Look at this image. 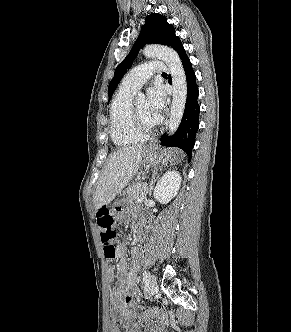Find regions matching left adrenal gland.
<instances>
[{"label": "left adrenal gland", "instance_id": "obj_1", "mask_svg": "<svg viewBox=\"0 0 291 332\" xmlns=\"http://www.w3.org/2000/svg\"><path fill=\"white\" fill-rule=\"evenodd\" d=\"M159 178V174H153L152 175V179L150 181V184H149V191H148V195L151 196L152 194V189H153V185L154 183L156 182V180Z\"/></svg>", "mask_w": 291, "mask_h": 332}]
</instances>
